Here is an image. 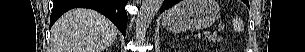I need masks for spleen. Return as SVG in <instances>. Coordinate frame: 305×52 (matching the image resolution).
Returning a JSON list of instances; mask_svg holds the SVG:
<instances>
[{
  "label": "spleen",
  "mask_w": 305,
  "mask_h": 52,
  "mask_svg": "<svg viewBox=\"0 0 305 52\" xmlns=\"http://www.w3.org/2000/svg\"><path fill=\"white\" fill-rule=\"evenodd\" d=\"M233 24H234V28L237 29V27H238V20L234 19L233 20Z\"/></svg>",
  "instance_id": "obj_1"
}]
</instances>
